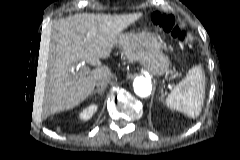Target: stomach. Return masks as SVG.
Segmentation results:
<instances>
[{"instance_id": "0dacf381", "label": "stomach", "mask_w": 240, "mask_h": 160, "mask_svg": "<svg viewBox=\"0 0 240 160\" xmlns=\"http://www.w3.org/2000/svg\"><path fill=\"white\" fill-rule=\"evenodd\" d=\"M119 46L128 59L141 61L154 75L161 76L169 70V59L162 52L159 37L150 32L125 33Z\"/></svg>"}]
</instances>
